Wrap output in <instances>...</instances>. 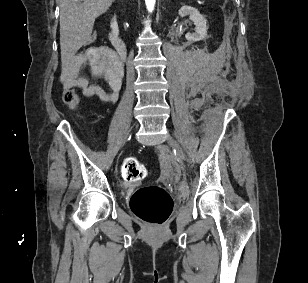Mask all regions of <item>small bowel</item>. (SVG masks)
I'll return each mask as SVG.
<instances>
[{"mask_svg":"<svg viewBox=\"0 0 308 283\" xmlns=\"http://www.w3.org/2000/svg\"><path fill=\"white\" fill-rule=\"evenodd\" d=\"M89 65L91 79L80 75L84 66ZM65 73L71 83L88 97H97L107 103H114L122 86V65L113 50L106 46L90 47L76 55L65 66ZM104 78L109 85L105 91L95 80Z\"/></svg>","mask_w":308,"mask_h":283,"instance_id":"small-bowel-1","label":"small bowel"}]
</instances>
